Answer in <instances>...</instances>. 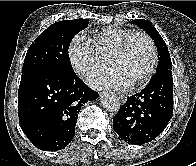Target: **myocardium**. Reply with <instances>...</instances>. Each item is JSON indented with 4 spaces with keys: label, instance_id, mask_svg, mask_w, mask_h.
Instances as JSON below:
<instances>
[{
    "label": "myocardium",
    "instance_id": "obj_1",
    "mask_svg": "<svg viewBox=\"0 0 196 166\" xmlns=\"http://www.w3.org/2000/svg\"><path fill=\"white\" fill-rule=\"evenodd\" d=\"M136 37L145 38L147 40V42L149 43L150 48H151V52H152V61H151V64H150L148 71L141 78H139L137 81L132 83V85L134 87H139V86L146 84L152 78V76L154 75V73L156 71V67L158 64L157 47H156L154 40L152 39V37L149 34H147L146 32H143V31H135V32L131 33L129 36H127L123 40L121 45L112 54V56L109 59V62H110V64H112V62L115 59L123 56L127 52L130 42Z\"/></svg>",
    "mask_w": 196,
    "mask_h": 166
}]
</instances>
